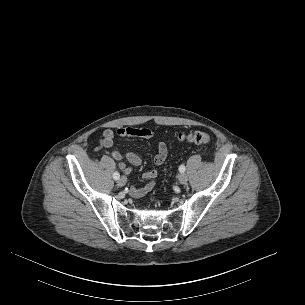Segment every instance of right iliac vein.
<instances>
[{
	"instance_id": "63e3f726",
	"label": "right iliac vein",
	"mask_w": 305,
	"mask_h": 305,
	"mask_svg": "<svg viewBox=\"0 0 305 305\" xmlns=\"http://www.w3.org/2000/svg\"><path fill=\"white\" fill-rule=\"evenodd\" d=\"M126 182H127L126 177L122 176L120 179H118L117 185L122 187V186H124L126 184Z\"/></svg>"
}]
</instances>
